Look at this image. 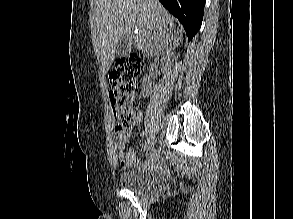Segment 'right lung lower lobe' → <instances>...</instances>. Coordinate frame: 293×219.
I'll list each match as a JSON object with an SVG mask.
<instances>
[{
	"label": "right lung lower lobe",
	"mask_w": 293,
	"mask_h": 219,
	"mask_svg": "<svg viewBox=\"0 0 293 219\" xmlns=\"http://www.w3.org/2000/svg\"><path fill=\"white\" fill-rule=\"evenodd\" d=\"M159 1L183 24L188 41L192 40L202 23L205 0Z\"/></svg>",
	"instance_id": "98d812e1"
}]
</instances>
